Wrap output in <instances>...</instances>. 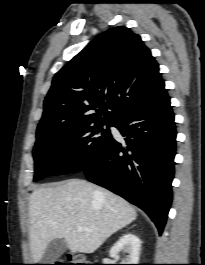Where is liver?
Here are the masks:
<instances>
[{"label":"liver","instance_id":"1","mask_svg":"<svg viewBox=\"0 0 205 265\" xmlns=\"http://www.w3.org/2000/svg\"><path fill=\"white\" fill-rule=\"evenodd\" d=\"M136 217V210L126 200L85 180L37 188L29 198L33 262L42 259L48 244L56 238L65 240L73 253H93ZM78 226L89 231L78 232Z\"/></svg>","mask_w":205,"mask_h":265}]
</instances>
